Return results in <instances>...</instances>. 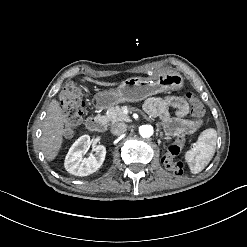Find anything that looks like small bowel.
<instances>
[{
  "label": "small bowel",
  "instance_id": "obj_1",
  "mask_svg": "<svg viewBox=\"0 0 247 247\" xmlns=\"http://www.w3.org/2000/svg\"><path fill=\"white\" fill-rule=\"evenodd\" d=\"M169 107L176 109L174 118L170 117ZM144 108L150 117L161 118L167 123L168 135L178 133L191 134L194 133L201 124L198 120H189L186 118L189 113V104L182 97H150L146 100ZM172 126H174V128Z\"/></svg>",
  "mask_w": 247,
  "mask_h": 247
}]
</instances>
